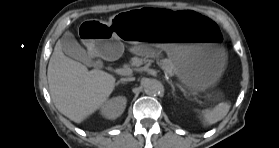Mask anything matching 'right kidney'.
I'll list each match as a JSON object with an SVG mask.
<instances>
[{
    "instance_id": "1",
    "label": "right kidney",
    "mask_w": 279,
    "mask_h": 148,
    "mask_svg": "<svg viewBox=\"0 0 279 148\" xmlns=\"http://www.w3.org/2000/svg\"><path fill=\"white\" fill-rule=\"evenodd\" d=\"M126 102L123 96L112 98L103 104L101 114L107 119H116L124 112Z\"/></svg>"
}]
</instances>
